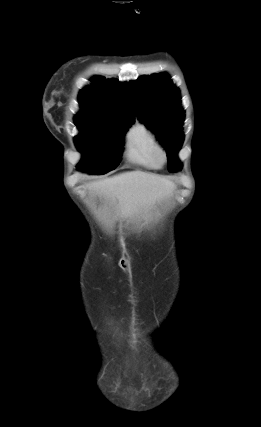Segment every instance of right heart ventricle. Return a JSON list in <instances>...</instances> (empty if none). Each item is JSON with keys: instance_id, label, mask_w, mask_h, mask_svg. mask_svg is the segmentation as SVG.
Segmentation results:
<instances>
[{"instance_id": "e07e8e85", "label": "right heart ventricle", "mask_w": 261, "mask_h": 427, "mask_svg": "<svg viewBox=\"0 0 261 427\" xmlns=\"http://www.w3.org/2000/svg\"><path fill=\"white\" fill-rule=\"evenodd\" d=\"M159 145L153 130L144 122L132 125L124 135L123 154L132 165L147 169H158L155 150Z\"/></svg>"}]
</instances>
